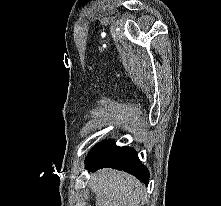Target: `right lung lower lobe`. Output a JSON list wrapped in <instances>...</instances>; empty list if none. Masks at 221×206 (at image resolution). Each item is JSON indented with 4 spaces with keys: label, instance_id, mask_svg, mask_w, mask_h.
I'll return each mask as SVG.
<instances>
[{
    "label": "right lung lower lobe",
    "instance_id": "right-lung-lower-lobe-1",
    "mask_svg": "<svg viewBox=\"0 0 221 206\" xmlns=\"http://www.w3.org/2000/svg\"><path fill=\"white\" fill-rule=\"evenodd\" d=\"M85 166L89 171L104 167L123 170L134 175L146 185L149 182L148 169L141 163L136 151L130 147H119L113 140H104L91 149Z\"/></svg>",
    "mask_w": 221,
    "mask_h": 206
}]
</instances>
